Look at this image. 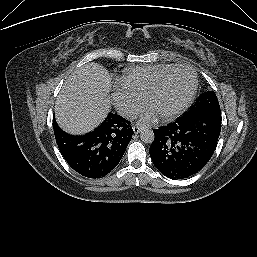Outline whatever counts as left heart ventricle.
<instances>
[{
  "mask_svg": "<svg viewBox=\"0 0 257 257\" xmlns=\"http://www.w3.org/2000/svg\"><path fill=\"white\" fill-rule=\"evenodd\" d=\"M191 85L190 71L179 69L172 72L153 97L150 108L158 114L173 110L185 99Z\"/></svg>",
  "mask_w": 257,
  "mask_h": 257,
  "instance_id": "b2bd125f",
  "label": "left heart ventricle"
}]
</instances>
